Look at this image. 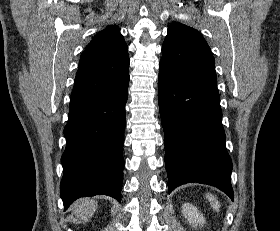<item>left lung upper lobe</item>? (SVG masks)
<instances>
[{
    "instance_id": "5c2ea615",
    "label": "left lung upper lobe",
    "mask_w": 280,
    "mask_h": 231,
    "mask_svg": "<svg viewBox=\"0 0 280 231\" xmlns=\"http://www.w3.org/2000/svg\"><path fill=\"white\" fill-rule=\"evenodd\" d=\"M159 68L182 82H217L214 57L205 39L197 30L178 22L168 28Z\"/></svg>"
}]
</instances>
